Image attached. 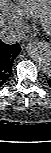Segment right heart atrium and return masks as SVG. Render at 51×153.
<instances>
[{
  "mask_svg": "<svg viewBox=\"0 0 51 153\" xmlns=\"http://www.w3.org/2000/svg\"><path fill=\"white\" fill-rule=\"evenodd\" d=\"M9 22L17 27L19 30L24 31L28 28V21L21 10H12L8 13Z\"/></svg>",
  "mask_w": 51,
  "mask_h": 153,
  "instance_id": "obj_1",
  "label": "right heart atrium"
}]
</instances>
